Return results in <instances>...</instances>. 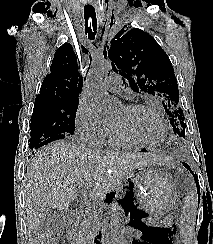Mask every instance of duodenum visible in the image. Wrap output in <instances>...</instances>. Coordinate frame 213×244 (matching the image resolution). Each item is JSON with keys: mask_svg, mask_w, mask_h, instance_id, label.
Instances as JSON below:
<instances>
[{"mask_svg": "<svg viewBox=\"0 0 213 244\" xmlns=\"http://www.w3.org/2000/svg\"><path fill=\"white\" fill-rule=\"evenodd\" d=\"M73 216H76V213ZM93 244H107V239L103 232L97 231L94 233Z\"/></svg>", "mask_w": 213, "mask_h": 244, "instance_id": "410a0bca", "label": "duodenum"}]
</instances>
